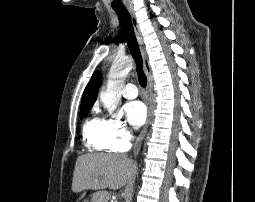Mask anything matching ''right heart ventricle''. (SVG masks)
Here are the masks:
<instances>
[{
	"label": "right heart ventricle",
	"instance_id": "1",
	"mask_svg": "<svg viewBox=\"0 0 255 202\" xmlns=\"http://www.w3.org/2000/svg\"><path fill=\"white\" fill-rule=\"evenodd\" d=\"M83 137L87 147L96 151L109 149L107 120L93 114L83 126Z\"/></svg>",
	"mask_w": 255,
	"mask_h": 202
}]
</instances>
